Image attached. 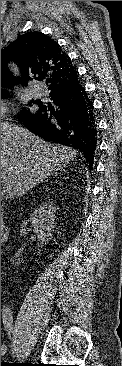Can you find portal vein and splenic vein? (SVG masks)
Instances as JSON below:
<instances>
[{
  "instance_id": "portal-vein-and-splenic-vein-1",
  "label": "portal vein and splenic vein",
  "mask_w": 122,
  "mask_h": 366,
  "mask_svg": "<svg viewBox=\"0 0 122 366\" xmlns=\"http://www.w3.org/2000/svg\"><path fill=\"white\" fill-rule=\"evenodd\" d=\"M6 189H4V190H2L3 192H6V191H8L9 190V187L7 186V187H5Z\"/></svg>"
}]
</instances>
